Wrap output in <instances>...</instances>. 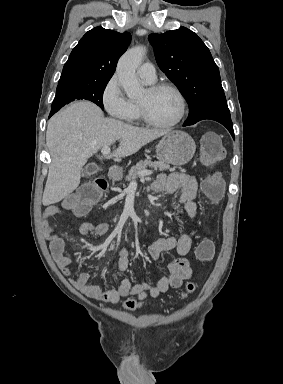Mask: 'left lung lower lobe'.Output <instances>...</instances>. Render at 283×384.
<instances>
[{"label":"left lung lower lobe","mask_w":283,"mask_h":384,"mask_svg":"<svg viewBox=\"0 0 283 384\" xmlns=\"http://www.w3.org/2000/svg\"><path fill=\"white\" fill-rule=\"evenodd\" d=\"M209 119L215 120L221 123L222 125H224L228 129L232 137L234 138L233 124L230 117H214ZM188 125H193V124H183V126H188Z\"/></svg>","instance_id":"left-lung-lower-lobe-1"}]
</instances>
